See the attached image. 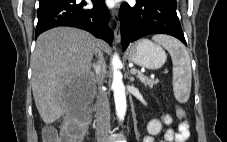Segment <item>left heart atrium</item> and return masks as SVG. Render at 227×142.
<instances>
[{
  "mask_svg": "<svg viewBox=\"0 0 227 142\" xmlns=\"http://www.w3.org/2000/svg\"><path fill=\"white\" fill-rule=\"evenodd\" d=\"M119 0H107V4L109 6H113L116 2H118Z\"/></svg>",
  "mask_w": 227,
  "mask_h": 142,
  "instance_id": "39dd6f15",
  "label": "left heart atrium"
}]
</instances>
